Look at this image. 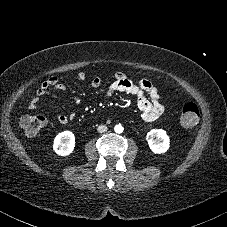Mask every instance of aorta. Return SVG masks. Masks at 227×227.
<instances>
[{
    "label": "aorta",
    "mask_w": 227,
    "mask_h": 227,
    "mask_svg": "<svg viewBox=\"0 0 227 227\" xmlns=\"http://www.w3.org/2000/svg\"><path fill=\"white\" fill-rule=\"evenodd\" d=\"M114 130H115L116 133L120 134V133L123 132L124 128H123L122 125L118 124V125H116V126L114 127Z\"/></svg>",
    "instance_id": "obj_1"
}]
</instances>
